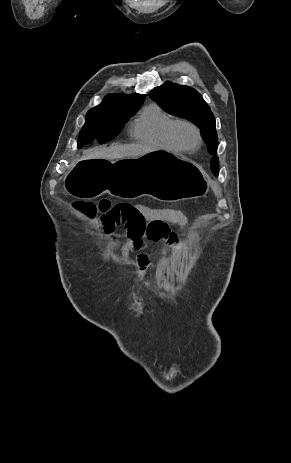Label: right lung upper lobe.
<instances>
[{"mask_svg": "<svg viewBox=\"0 0 291 463\" xmlns=\"http://www.w3.org/2000/svg\"><path fill=\"white\" fill-rule=\"evenodd\" d=\"M145 98L144 94H112L104 98L103 102L98 106L92 108H113V109H124L135 104L143 103Z\"/></svg>", "mask_w": 291, "mask_h": 463, "instance_id": "right-lung-upper-lobe-1", "label": "right lung upper lobe"}]
</instances>
